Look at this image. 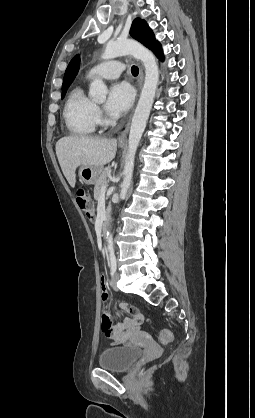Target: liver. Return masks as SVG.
Wrapping results in <instances>:
<instances>
[{"label": "liver", "instance_id": "1", "mask_svg": "<svg viewBox=\"0 0 255 418\" xmlns=\"http://www.w3.org/2000/svg\"><path fill=\"white\" fill-rule=\"evenodd\" d=\"M117 151V140L87 136H67L56 143V155L64 176L72 188L79 166H100L110 163Z\"/></svg>", "mask_w": 255, "mask_h": 418}]
</instances>
